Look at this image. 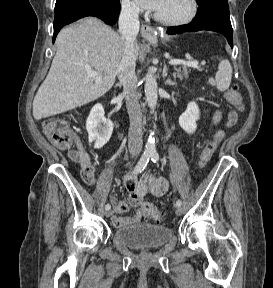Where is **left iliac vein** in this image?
<instances>
[{"instance_id":"obj_1","label":"left iliac vein","mask_w":273,"mask_h":288,"mask_svg":"<svg viewBox=\"0 0 273 288\" xmlns=\"http://www.w3.org/2000/svg\"><path fill=\"white\" fill-rule=\"evenodd\" d=\"M175 212L177 215H181L182 212H183V209L181 208V206H177L176 209H175Z\"/></svg>"}]
</instances>
